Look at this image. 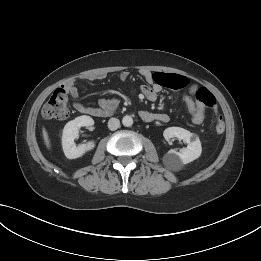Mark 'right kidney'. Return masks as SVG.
<instances>
[{
  "label": "right kidney",
  "instance_id": "ca27d5eb",
  "mask_svg": "<svg viewBox=\"0 0 261 261\" xmlns=\"http://www.w3.org/2000/svg\"><path fill=\"white\" fill-rule=\"evenodd\" d=\"M93 124L94 120L90 116L83 115L69 121L65 125L62 135V147L64 154L68 159L79 158L95 147L94 141H89L86 144L79 146H76L74 143V139L78 137L79 128L83 126H92Z\"/></svg>",
  "mask_w": 261,
  "mask_h": 261
}]
</instances>
